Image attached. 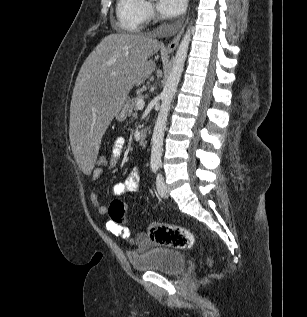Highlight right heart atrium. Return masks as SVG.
I'll return each instance as SVG.
<instances>
[{
    "instance_id": "right-heart-atrium-1",
    "label": "right heart atrium",
    "mask_w": 307,
    "mask_h": 317,
    "mask_svg": "<svg viewBox=\"0 0 307 317\" xmlns=\"http://www.w3.org/2000/svg\"><path fill=\"white\" fill-rule=\"evenodd\" d=\"M143 16L145 21H150L155 16V12L151 3L144 2Z\"/></svg>"
}]
</instances>
